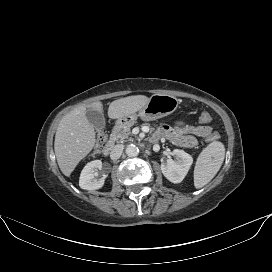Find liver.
<instances>
[{
  "label": "liver",
  "mask_w": 272,
  "mask_h": 272,
  "mask_svg": "<svg viewBox=\"0 0 272 272\" xmlns=\"http://www.w3.org/2000/svg\"><path fill=\"white\" fill-rule=\"evenodd\" d=\"M149 98L144 95H133L111 102L108 116L120 119L142 109ZM101 102L81 105L65 115L56 131L54 150L60 170L70 176L78 163L86 157L96 143L93 125L86 117L87 109L101 110Z\"/></svg>",
  "instance_id": "1"
}]
</instances>
